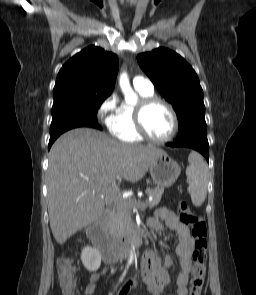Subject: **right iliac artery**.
Returning <instances> with one entry per match:
<instances>
[{
	"mask_svg": "<svg viewBox=\"0 0 256 295\" xmlns=\"http://www.w3.org/2000/svg\"><path fill=\"white\" fill-rule=\"evenodd\" d=\"M125 275V272H124V274H123V276ZM123 276H122V278H123ZM122 278H121V280H122Z\"/></svg>",
	"mask_w": 256,
	"mask_h": 295,
	"instance_id": "obj_1",
	"label": "right iliac artery"
}]
</instances>
